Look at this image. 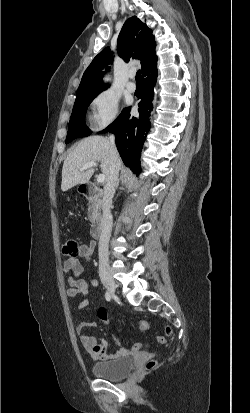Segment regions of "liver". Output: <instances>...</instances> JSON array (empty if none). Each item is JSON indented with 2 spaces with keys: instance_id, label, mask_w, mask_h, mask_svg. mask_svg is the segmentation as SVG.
Wrapping results in <instances>:
<instances>
[{
  "instance_id": "6515ba94",
  "label": "liver",
  "mask_w": 250,
  "mask_h": 413,
  "mask_svg": "<svg viewBox=\"0 0 250 413\" xmlns=\"http://www.w3.org/2000/svg\"><path fill=\"white\" fill-rule=\"evenodd\" d=\"M88 162H100L102 173L106 181L108 180L111 171V145L107 138L90 136L76 144L63 163L61 183L63 192L90 180L94 168L80 170Z\"/></svg>"
}]
</instances>
